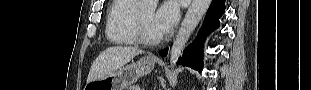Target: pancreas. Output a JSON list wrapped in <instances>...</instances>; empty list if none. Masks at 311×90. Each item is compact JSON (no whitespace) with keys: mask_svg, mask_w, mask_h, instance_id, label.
<instances>
[{"mask_svg":"<svg viewBox=\"0 0 311 90\" xmlns=\"http://www.w3.org/2000/svg\"><path fill=\"white\" fill-rule=\"evenodd\" d=\"M129 90H140V88L138 85H136V86L131 87Z\"/></svg>","mask_w":311,"mask_h":90,"instance_id":"1","label":"pancreas"}]
</instances>
